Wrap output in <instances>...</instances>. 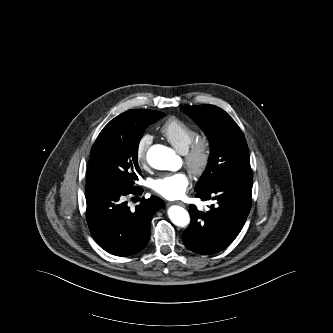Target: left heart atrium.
<instances>
[{"label": "left heart atrium", "mask_w": 333, "mask_h": 333, "mask_svg": "<svg viewBox=\"0 0 333 333\" xmlns=\"http://www.w3.org/2000/svg\"><path fill=\"white\" fill-rule=\"evenodd\" d=\"M189 187V178L183 172L168 174L152 181V190L166 199H179Z\"/></svg>", "instance_id": "39dd6f15"}]
</instances>
